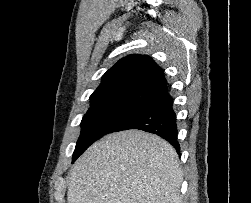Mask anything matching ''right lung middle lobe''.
Wrapping results in <instances>:
<instances>
[{"mask_svg":"<svg viewBox=\"0 0 251 203\" xmlns=\"http://www.w3.org/2000/svg\"><path fill=\"white\" fill-rule=\"evenodd\" d=\"M141 111L138 107L123 105L91 106L81 121V134L76 143L74 162L92 143L112 133L121 123Z\"/></svg>","mask_w":251,"mask_h":203,"instance_id":"dd1d6c3e","label":"right lung middle lobe"}]
</instances>
